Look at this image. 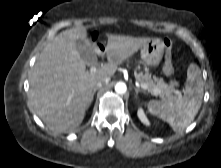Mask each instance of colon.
<instances>
[{"mask_svg":"<svg viewBox=\"0 0 221 168\" xmlns=\"http://www.w3.org/2000/svg\"><path fill=\"white\" fill-rule=\"evenodd\" d=\"M165 45V63L163 70L165 74L171 75L174 72V67L172 64V42L169 39L164 41ZM170 88L172 91H178L181 88V83L179 81H172L170 83Z\"/></svg>","mask_w":221,"mask_h":168,"instance_id":"obj_1","label":"colon"}]
</instances>
